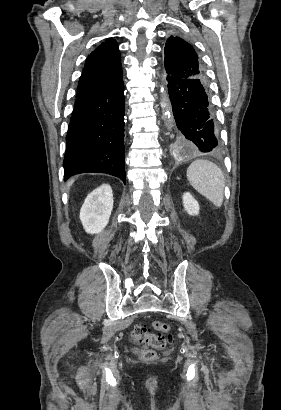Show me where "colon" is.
<instances>
[{"label": "colon", "instance_id": "1", "mask_svg": "<svg viewBox=\"0 0 281 410\" xmlns=\"http://www.w3.org/2000/svg\"><path fill=\"white\" fill-rule=\"evenodd\" d=\"M150 327L157 332H151L146 325H137L131 332L133 341L141 346V348H136V352L145 361L154 360L155 350L164 349L172 342V338L167 335L170 330L169 324L153 321L150 323Z\"/></svg>", "mask_w": 281, "mask_h": 410}]
</instances>
